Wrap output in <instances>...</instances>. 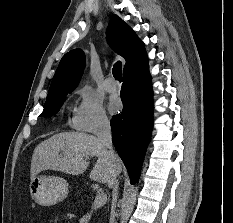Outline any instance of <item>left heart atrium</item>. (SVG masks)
I'll return each mask as SVG.
<instances>
[{"label":"left heart atrium","mask_w":233,"mask_h":223,"mask_svg":"<svg viewBox=\"0 0 233 223\" xmlns=\"http://www.w3.org/2000/svg\"><path fill=\"white\" fill-rule=\"evenodd\" d=\"M109 111L111 114L120 112V102L116 97H112L109 102Z\"/></svg>","instance_id":"left-heart-atrium-1"}]
</instances>
